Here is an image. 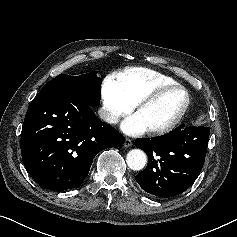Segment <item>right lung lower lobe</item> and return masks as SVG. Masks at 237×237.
<instances>
[{
    "label": "right lung lower lobe",
    "mask_w": 237,
    "mask_h": 237,
    "mask_svg": "<svg viewBox=\"0 0 237 237\" xmlns=\"http://www.w3.org/2000/svg\"><path fill=\"white\" fill-rule=\"evenodd\" d=\"M124 141L75 95L40 91L24 119L22 160L39 185L63 191L82 184L100 151L120 147Z\"/></svg>",
    "instance_id": "right-lung-lower-lobe-1"
}]
</instances>
